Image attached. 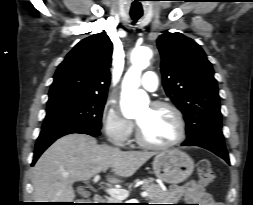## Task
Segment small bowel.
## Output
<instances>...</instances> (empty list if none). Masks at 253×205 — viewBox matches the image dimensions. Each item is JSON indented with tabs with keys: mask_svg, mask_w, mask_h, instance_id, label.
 <instances>
[{
	"mask_svg": "<svg viewBox=\"0 0 253 205\" xmlns=\"http://www.w3.org/2000/svg\"><path fill=\"white\" fill-rule=\"evenodd\" d=\"M172 197L175 200L185 198L189 202L196 203L191 205H221L203 186L195 181H190L183 187L175 189Z\"/></svg>",
	"mask_w": 253,
	"mask_h": 205,
	"instance_id": "c3829d8e",
	"label": "small bowel"
}]
</instances>
